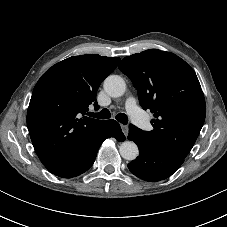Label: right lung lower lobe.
Masks as SVG:
<instances>
[{"mask_svg":"<svg viewBox=\"0 0 227 227\" xmlns=\"http://www.w3.org/2000/svg\"><path fill=\"white\" fill-rule=\"evenodd\" d=\"M118 133H122L120 125L115 120H108L105 126L102 127L84 149L69 163L53 172V174L62 178H72L84 173L93 165L98 149L103 141L108 137H115V134Z\"/></svg>","mask_w":227,"mask_h":227,"instance_id":"right-lung-lower-lobe-1","label":"right lung lower lobe"}]
</instances>
